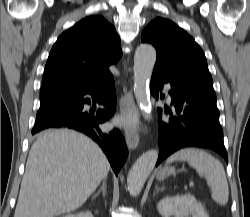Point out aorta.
Segmentation results:
<instances>
[{"instance_id":"obj_1","label":"aorta","mask_w":250,"mask_h":217,"mask_svg":"<svg viewBox=\"0 0 250 217\" xmlns=\"http://www.w3.org/2000/svg\"><path fill=\"white\" fill-rule=\"evenodd\" d=\"M156 62V50L153 46L143 44L137 47L134 55V93L145 119H151V103L148 82L151 78ZM159 152L152 149L142 154L127 177L128 191L132 196H137L148 176L156 165Z\"/></svg>"}]
</instances>
